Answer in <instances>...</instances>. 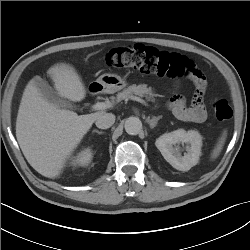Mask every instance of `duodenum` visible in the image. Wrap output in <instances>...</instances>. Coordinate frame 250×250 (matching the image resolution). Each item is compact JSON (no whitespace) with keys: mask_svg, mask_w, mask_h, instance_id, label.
<instances>
[{"mask_svg":"<svg viewBox=\"0 0 250 250\" xmlns=\"http://www.w3.org/2000/svg\"><path fill=\"white\" fill-rule=\"evenodd\" d=\"M100 89H101L100 85H92L90 87V93L91 94H96Z\"/></svg>","mask_w":250,"mask_h":250,"instance_id":"obj_1","label":"duodenum"}]
</instances>
